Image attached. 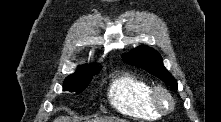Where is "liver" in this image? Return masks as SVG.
I'll list each match as a JSON object with an SVG mask.
<instances>
[{"mask_svg":"<svg viewBox=\"0 0 221 122\" xmlns=\"http://www.w3.org/2000/svg\"><path fill=\"white\" fill-rule=\"evenodd\" d=\"M71 119L69 117L61 116L56 118L54 122H70ZM93 122H126V120L119 118H96Z\"/></svg>","mask_w":221,"mask_h":122,"instance_id":"obj_1","label":"liver"}]
</instances>
